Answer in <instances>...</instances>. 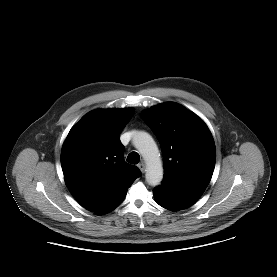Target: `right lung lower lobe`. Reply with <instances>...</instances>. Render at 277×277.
Listing matches in <instances>:
<instances>
[{
  "instance_id": "98d812e1",
  "label": "right lung lower lobe",
  "mask_w": 277,
  "mask_h": 277,
  "mask_svg": "<svg viewBox=\"0 0 277 277\" xmlns=\"http://www.w3.org/2000/svg\"><path fill=\"white\" fill-rule=\"evenodd\" d=\"M127 190L124 191V193L119 198H117L110 206H108L106 209H104L103 211H101L97 214H105V213L110 212L111 210L115 209L117 206H119L122 203V201L124 200Z\"/></svg>"
}]
</instances>
